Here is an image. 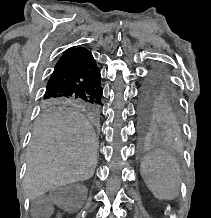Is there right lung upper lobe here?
<instances>
[{
    "mask_svg": "<svg viewBox=\"0 0 211 218\" xmlns=\"http://www.w3.org/2000/svg\"><path fill=\"white\" fill-rule=\"evenodd\" d=\"M80 50H85V48H82V47H80V48L72 47V48L67 49V50L64 52V54L71 53V52H75V51H80Z\"/></svg>",
    "mask_w": 211,
    "mask_h": 218,
    "instance_id": "right-lung-upper-lobe-1",
    "label": "right lung upper lobe"
}]
</instances>
